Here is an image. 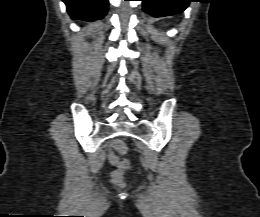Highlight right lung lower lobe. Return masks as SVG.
Segmentation results:
<instances>
[{"label": "right lung lower lobe", "instance_id": "obj_1", "mask_svg": "<svg viewBox=\"0 0 260 217\" xmlns=\"http://www.w3.org/2000/svg\"><path fill=\"white\" fill-rule=\"evenodd\" d=\"M74 20L95 21L102 19L108 10V0H63Z\"/></svg>", "mask_w": 260, "mask_h": 217}]
</instances>
